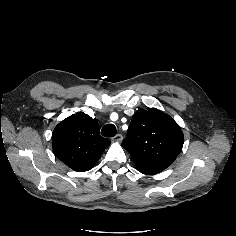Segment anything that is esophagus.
I'll return each instance as SVG.
<instances>
[{
	"label": "esophagus",
	"mask_w": 236,
	"mask_h": 236,
	"mask_svg": "<svg viewBox=\"0 0 236 236\" xmlns=\"http://www.w3.org/2000/svg\"><path fill=\"white\" fill-rule=\"evenodd\" d=\"M123 140V136L121 134H117L112 138L113 142H121Z\"/></svg>",
	"instance_id": "obj_1"
}]
</instances>
